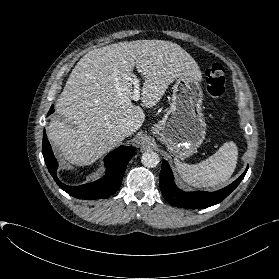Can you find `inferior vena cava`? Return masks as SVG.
Returning <instances> with one entry per match:
<instances>
[{
	"label": "inferior vena cava",
	"instance_id": "1",
	"mask_svg": "<svg viewBox=\"0 0 279 279\" xmlns=\"http://www.w3.org/2000/svg\"><path fill=\"white\" fill-rule=\"evenodd\" d=\"M132 134V130L130 129V128H124L123 130H122V135L124 136V137H127V136H129V135H131Z\"/></svg>",
	"mask_w": 279,
	"mask_h": 279
}]
</instances>
